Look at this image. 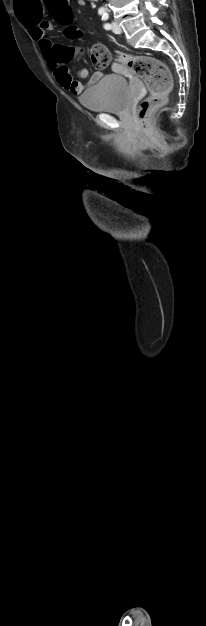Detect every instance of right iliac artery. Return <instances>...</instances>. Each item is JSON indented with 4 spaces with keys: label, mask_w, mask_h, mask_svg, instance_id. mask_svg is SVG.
<instances>
[{
    "label": "right iliac artery",
    "mask_w": 206,
    "mask_h": 626,
    "mask_svg": "<svg viewBox=\"0 0 206 626\" xmlns=\"http://www.w3.org/2000/svg\"><path fill=\"white\" fill-rule=\"evenodd\" d=\"M98 13H99L100 15H104V14H105L103 9H100V10L98 11Z\"/></svg>",
    "instance_id": "right-iliac-artery-1"
}]
</instances>
